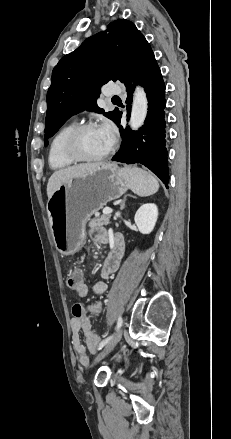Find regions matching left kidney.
Segmentation results:
<instances>
[{"label": "left kidney", "instance_id": "obj_1", "mask_svg": "<svg viewBox=\"0 0 231 439\" xmlns=\"http://www.w3.org/2000/svg\"><path fill=\"white\" fill-rule=\"evenodd\" d=\"M158 218V208L153 203L143 204L136 212L134 220L142 234L153 231Z\"/></svg>", "mask_w": 231, "mask_h": 439}]
</instances>
